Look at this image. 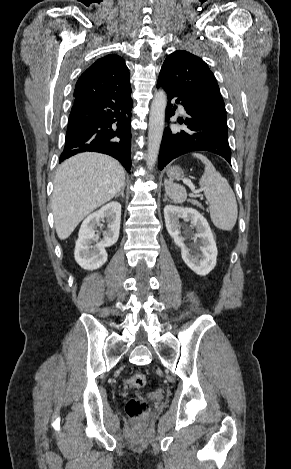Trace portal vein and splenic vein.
<instances>
[{
    "label": "portal vein and splenic vein",
    "instance_id": "18ae733b",
    "mask_svg": "<svg viewBox=\"0 0 291 469\" xmlns=\"http://www.w3.org/2000/svg\"><path fill=\"white\" fill-rule=\"evenodd\" d=\"M183 182H184L185 184H187V185L191 188V190H192L193 193H196L195 187L193 186V184L191 183L190 180L184 179Z\"/></svg>",
    "mask_w": 291,
    "mask_h": 469
}]
</instances>
